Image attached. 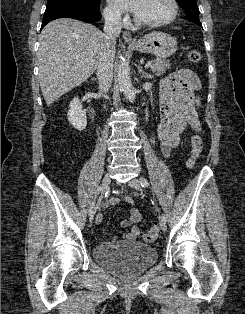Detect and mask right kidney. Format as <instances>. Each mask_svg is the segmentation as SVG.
<instances>
[{
    "instance_id": "obj_1",
    "label": "right kidney",
    "mask_w": 245,
    "mask_h": 314,
    "mask_svg": "<svg viewBox=\"0 0 245 314\" xmlns=\"http://www.w3.org/2000/svg\"><path fill=\"white\" fill-rule=\"evenodd\" d=\"M69 123L77 130L82 131L86 128V113L82 109V105L78 97H75L69 105L67 113Z\"/></svg>"
}]
</instances>
